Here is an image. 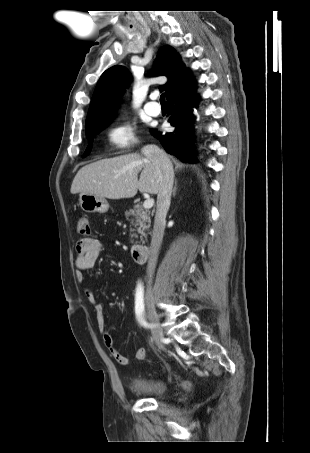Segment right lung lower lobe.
I'll use <instances>...</instances> for the list:
<instances>
[{
    "instance_id": "1",
    "label": "right lung lower lobe",
    "mask_w": 310,
    "mask_h": 453,
    "mask_svg": "<svg viewBox=\"0 0 310 453\" xmlns=\"http://www.w3.org/2000/svg\"><path fill=\"white\" fill-rule=\"evenodd\" d=\"M196 103L193 79L189 73L171 90L167 96L168 122L175 130L162 135L156 130L151 133L159 139L164 149L184 162H194L192 106Z\"/></svg>"
}]
</instances>
